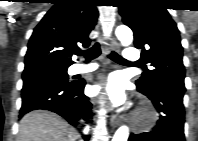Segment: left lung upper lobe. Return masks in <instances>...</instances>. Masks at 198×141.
<instances>
[{"label": "left lung upper lobe", "instance_id": "obj_1", "mask_svg": "<svg viewBox=\"0 0 198 141\" xmlns=\"http://www.w3.org/2000/svg\"><path fill=\"white\" fill-rule=\"evenodd\" d=\"M125 25L134 32V44L142 58L154 67L136 81L139 90L150 92L161 83L184 86L185 67L179 30L159 0H124L119 6Z\"/></svg>", "mask_w": 198, "mask_h": 141}]
</instances>
